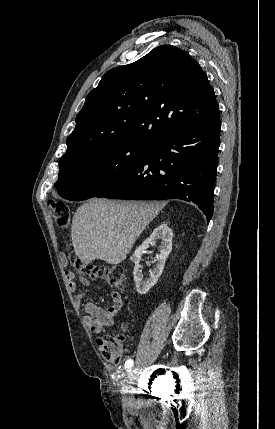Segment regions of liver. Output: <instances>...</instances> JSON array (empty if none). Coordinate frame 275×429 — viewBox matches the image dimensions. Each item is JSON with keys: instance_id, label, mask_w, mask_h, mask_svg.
<instances>
[{"instance_id": "obj_1", "label": "liver", "mask_w": 275, "mask_h": 429, "mask_svg": "<svg viewBox=\"0 0 275 429\" xmlns=\"http://www.w3.org/2000/svg\"><path fill=\"white\" fill-rule=\"evenodd\" d=\"M163 205L102 198L89 200L76 210L72 220L75 253L85 264L95 259L112 265L121 263Z\"/></svg>"}]
</instances>
